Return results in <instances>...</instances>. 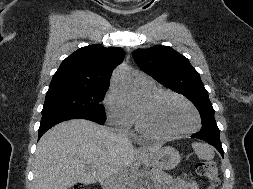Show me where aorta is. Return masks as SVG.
Instances as JSON below:
<instances>
[{"instance_id": "762f6f07", "label": "aorta", "mask_w": 253, "mask_h": 189, "mask_svg": "<svg viewBox=\"0 0 253 189\" xmlns=\"http://www.w3.org/2000/svg\"><path fill=\"white\" fill-rule=\"evenodd\" d=\"M112 84L128 107H135L141 102V95L134 86L126 68L120 67L115 71Z\"/></svg>"}]
</instances>
